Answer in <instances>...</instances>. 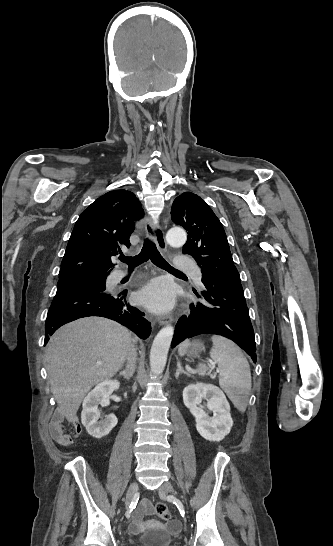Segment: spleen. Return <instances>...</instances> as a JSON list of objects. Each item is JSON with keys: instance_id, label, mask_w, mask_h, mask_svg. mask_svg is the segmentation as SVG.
I'll list each match as a JSON object with an SVG mask.
<instances>
[{"instance_id": "3e777b00", "label": "spleen", "mask_w": 333, "mask_h": 546, "mask_svg": "<svg viewBox=\"0 0 333 546\" xmlns=\"http://www.w3.org/2000/svg\"><path fill=\"white\" fill-rule=\"evenodd\" d=\"M213 347L210 351L211 359L217 364L219 385L230 398L234 406L244 412L247 408L251 390L250 366L240 348L231 340L222 336H212ZM190 342H182L178 352L184 355ZM199 374H207L210 366L200 363Z\"/></svg>"}]
</instances>
